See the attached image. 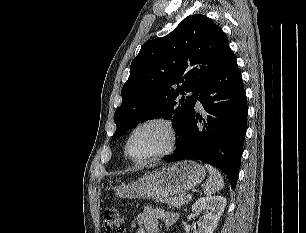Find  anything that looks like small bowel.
I'll return each mask as SVG.
<instances>
[{"label": "small bowel", "mask_w": 306, "mask_h": 233, "mask_svg": "<svg viewBox=\"0 0 306 233\" xmlns=\"http://www.w3.org/2000/svg\"><path fill=\"white\" fill-rule=\"evenodd\" d=\"M178 216L174 212H166L159 208L146 207L136 215L131 223V228H136V233H158L159 224L171 227L177 222Z\"/></svg>", "instance_id": "small-bowel-1"}]
</instances>
